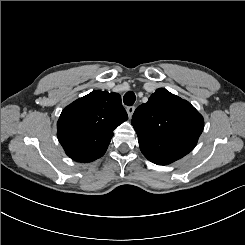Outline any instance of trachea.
<instances>
[{
	"label": "trachea",
	"mask_w": 245,
	"mask_h": 245,
	"mask_svg": "<svg viewBox=\"0 0 245 245\" xmlns=\"http://www.w3.org/2000/svg\"><path fill=\"white\" fill-rule=\"evenodd\" d=\"M135 100H136V96L132 91L127 92L123 97L124 104L128 106L133 105Z\"/></svg>",
	"instance_id": "1"
}]
</instances>
